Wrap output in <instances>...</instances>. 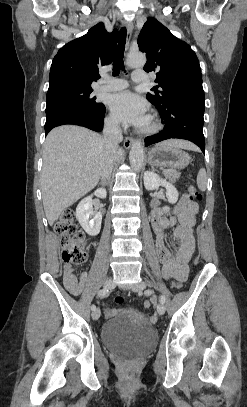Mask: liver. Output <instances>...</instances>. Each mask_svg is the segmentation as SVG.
Segmentation results:
<instances>
[{
  "label": "liver",
  "mask_w": 247,
  "mask_h": 407,
  "mask_svg": "<svg viewBox=\"0 0 247 407\" xmlns=\"http://www.w3.org/2000/svg\"><path fill=\"white\" fill-rule=\"evenodd\" d=\"M164 143L181 149H195L185 140ZM104 150L103 138L84 127L63 125L47 135L43 148L41 191L50 225L63 210L97 185ZM121 155L122 151L117 150L115 158Z\"/></svg>",
  "instance_id": "liver-1"
}]
</instances>
